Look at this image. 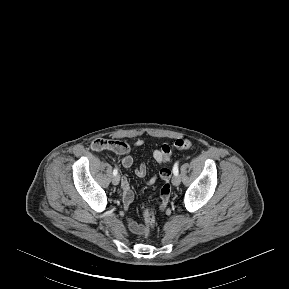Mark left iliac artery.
<instances>
[{
  "label": "left iliac artery",
  "mask_w": 289,
  "mask_h": 289,
  "mask_svg": "<svg viewBox=\"0 0 289 289\" xmlns=\"http://www.w3.org/2000/svg\"><path fill=\"white\" fill-rule=\"evenodd\" d=\"M173 173H174V175H178V173H179L178 162H176L173 166Z\"/></svg>",
  "instance_id": "1"
}]
</instances>
